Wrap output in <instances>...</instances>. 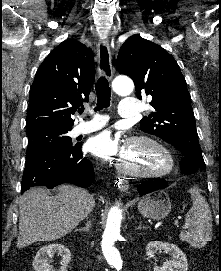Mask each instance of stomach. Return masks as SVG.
<instances>
[{"mask_svg": "<svg viewBox=\"0 0 221 271\" xmlns=\"http://www.w3.org/2000/svg\"><path fill=\"white\" fill-rule=\"evenodd\" d=\"M171 209V199L163 189L147 193L138 201L139 213H142L144 217H150V219H163Z\"/></svg>", "mask_w": 221, "mask_h": 271, "instance_id": "1", "label": "stomach"}]
</instances>
